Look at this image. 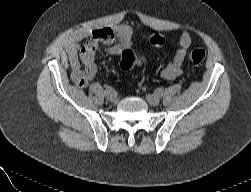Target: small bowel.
<instances>
[{
	"label": "small bowel",
	"instance_id": "1",
	"mask_svg": "<svg viewBox=\"0 0 251 192\" xmlns=\"http://www.w3.org/2000/svg\"><path fill=\"white\" fill-rule=\"evenodd\" d=\"M79 36L73 38L67 45L71 65V78L80 88L86 87L97 72L95 54L98 43L108 45V51L113 55H119L126 50L132 42L131 29L126 25L112 28H101L92 32L84 47L78 51ZM192 44V38L187 32H183L179 40V48L168 65L161 71V77L166 80H174L182 74V65L188 48ZM81 62L84 69L81 68Z\"/></svg>",
	"mask_w": 251,
	"mask_h": 192
}]
</instances>
